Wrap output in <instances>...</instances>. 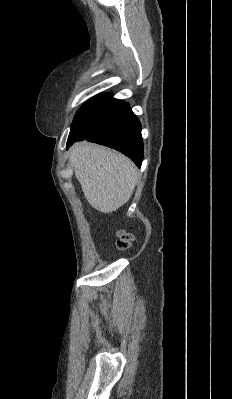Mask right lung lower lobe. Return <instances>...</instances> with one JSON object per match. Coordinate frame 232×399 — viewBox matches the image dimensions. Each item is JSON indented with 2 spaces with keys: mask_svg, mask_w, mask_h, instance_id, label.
<instances>
[{
  "mask_svg": "<svg viewBox=\"0 0 232 399\" xmlns=\"http://www.w3.org/2000/svg\"><path fill=\"white\" fill-rule=\"evenodd\" d=\"M86 139L114 148L140 167L143 160L141 125L131 108L111 94H100L87 101L76 113L67 148Z\"/></svg>",
  "mask_w": 232,
  "mask_h": 399,
  "instance_id": "right-lung-lower-lobe-1",
  "label": "right lung lower lobe"
}]
</instances>
